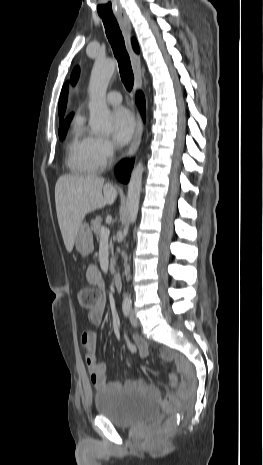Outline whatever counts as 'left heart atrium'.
<instances>
[{"label": "left heart atrium", "mask_w": 263, "mask_h": 465, "mask_svg": "<svg viewBox=\"0 0 263 465\" xmlns=\"http://www.w3.org/2000/svg\"><path fill=\"white\" fill-rule=\"evenodd\" d=\"M113 137L120 144H126L135 131V120L132 113L124 108H116L111 115Z\"/></svg>", "instance_id": "left-heart-atrium-1"}]
</instances>
